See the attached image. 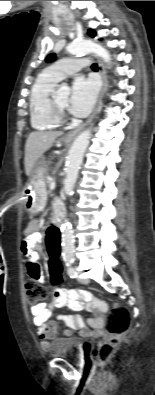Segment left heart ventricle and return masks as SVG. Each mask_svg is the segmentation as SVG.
I'll list each match as a JSON object with an SVG mask.
<instances>
[{
    "label": "left heart ventricle",
    "mask_w": 155,
    "mask_h": 395,
    "mask_svg": "<svg viewBox=\"0 0 155 395\" xmlns=\"http://www.w3.org/2000/svg\"><path fill=\"white\" fill-rule=\"evenodd\" d=\"M57 103L64 109L67 108L69 102V95L67 92L58 91L55 93Z\"/></svg>",
    "instance_id": "obj_1"
}]
</instances>
